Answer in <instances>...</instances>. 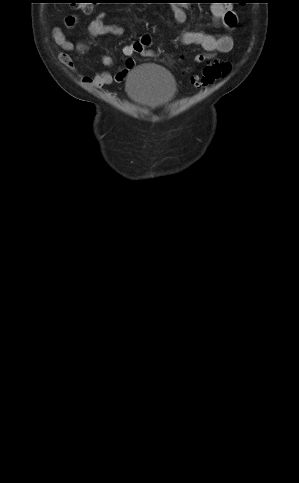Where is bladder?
<instances>
[{"label":"bladder","instance_id":"31cf9c89","mask_svg":"<svg viewBox=\"0 0 299 483\" xmlns=\"http://www.w3.org/2000/svg\"><path fill=\"white\" fill-rule=\"evenodd\" d=\"M126 92L135 103L151 107L171 101L177 87L167 70L158 65L144 64L134 68L128 75Z\"/></svg>","mask_w":299,"mask_h":483}]
</instances>
